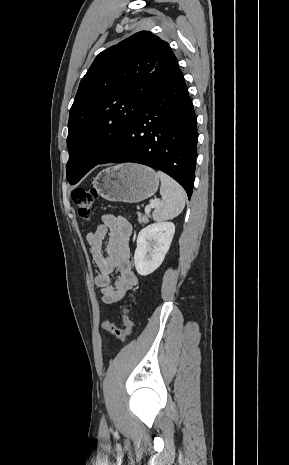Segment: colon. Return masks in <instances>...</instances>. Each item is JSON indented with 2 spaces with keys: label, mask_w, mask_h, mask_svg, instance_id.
I'll return each mask as SVG.
<instances>
[{
  "label": "colon",
  "mask_w": 289,
  "mask_h": 465,
  "mask_svg": "<svg viewBox=\"0 0 289 465\" xmlns=\"http://www.w3.org/2000/svg\"><path fill=\"white\" fill-rule=\"evenodd\" d=\"M71 198L77 207L79 216L82 219H90L97 199V191L92 188H77L72 191ZM131 303L126 304L121 309L123 327H117L109 321H104L101 325L102 330L111 333L122 341L126 340L133 328V323L129 317Z\"/></svg>",
  "instance_id": "colon-1"
}]
</instances>
